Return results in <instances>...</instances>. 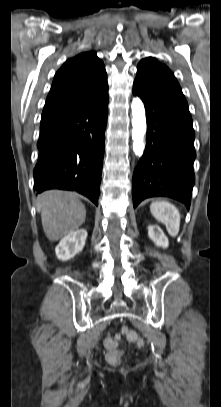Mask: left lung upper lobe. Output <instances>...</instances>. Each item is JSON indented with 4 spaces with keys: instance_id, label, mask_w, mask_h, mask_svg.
Listing matches in <instances>:
<instances>
[{
    "instance_id": "1",
    "label": "left lung upper lobe",
    "mask_w": 221,
    "mask_h": 407,
    "mask_svg": "<svg viewBox=\"0 0 221 407\" xmlns=\"http://www.w3.org/2000/svg\"><path fill=\"white\" fill-rule=\"evenodd\" d=\"M134 82L152 88L180 87L170 69L152 57L140 61L137 66V76Z\"/></svg>"
}]
</instances>
